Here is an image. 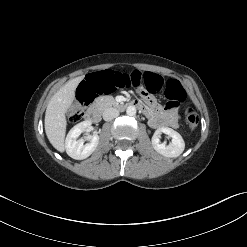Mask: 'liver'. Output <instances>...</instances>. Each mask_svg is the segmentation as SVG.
<instances>
[{
    "label": "liver",
    "mask_w": 247,
    "mask_h": 247,
    "mask_svg": "<svg viewBox=\"0 0 247 247\" xmlns=\"http://www.w3.org/2000/svg\"><path fill=\"white\" fill-rule=\"evenodd\" d=\"M82 80L77 77L69 80L50 99L45 112V132L53 147L59 152H64L66 134V112L75 98V90Z\"/></svg>",
    "instance_id": "1"
}]
</instances>
